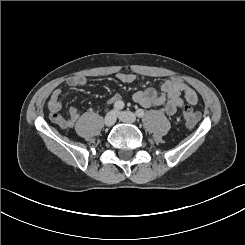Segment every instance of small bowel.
<instances>
[{"mask_svg":"<svg viewBox=\"0 0 245 245\" xmlns=\"http://www.w3.org/2000/svg\"><path fill=\"white\" fill-rule=\"evenodd\" d=\"M117 79L123 83H132L136 76L132 73H118ZM66 83L69 87L74 88L84 85L86 78L84 76H72L66 80ZM61 93V89L56 88L50 96L48 102L49 118L62 129L73 128L79 118V111L76 107L71 106L68 109V116H62L60 114ZM182 95L190 105L198 103V96L188 83L179 77H170L162 83L160 92L152 87L138 90L133 94V100L146 108L164 106L166 114L173 116L184 105ZM118 101H121V96L114 94L109 98L108 103L115 104Z\"/></svg>","mask_w":245,"mask_h":245,"instance_id":"small-bowel-1","label":"small bowel"}]
</instances>
